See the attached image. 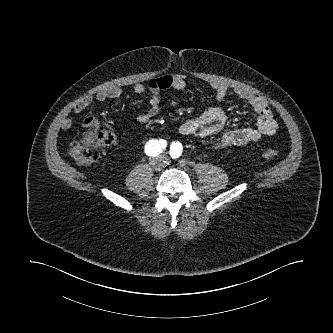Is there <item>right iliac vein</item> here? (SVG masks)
<instances>
[{"mask_svg":"<svg viewBox=\"0 0 333 333\" xmlns=\"http://www.w3.org/2000/svg\"><path fill=\"white\" fill-rule=\"evenodd\" d=\"M150 164L155 171H159L162 168V162L159 159L152 160Z\"/></svg>","mask_w":333,"mask_h":333,"instance_id":"right-iliac-vein-1","label":"right iliac vein"}]
</instances>
